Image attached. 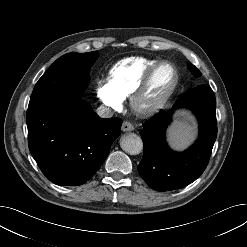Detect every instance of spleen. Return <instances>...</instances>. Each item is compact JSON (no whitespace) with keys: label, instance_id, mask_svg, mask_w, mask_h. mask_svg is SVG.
Here are the masks:
<instances>
[{"label":"spleen","instance_id":"3e777b00","mask_svg":"<svg viewBox=\"0 0 247 247\" xmlns=\"http://www.w3.org/2000/svg\"><path fill=\"white\" fill-rule=\"evenodd\" d=\"M194 138V128L187 121L177 120L168 129V142L176 150L186 148Z\"/></svg>","mask_w":247,"mask_h":247}]
</instances>
